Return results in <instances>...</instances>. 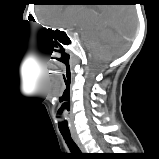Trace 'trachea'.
<instances>
[{"instance_id": "trachea-1", "label": "trachea", "mask_w": 159, "mask_h": 159, "mask_svg": "<svg viewBox=\"0 0 159 159\" xmlns=\"http://www.w3.org/2000/svg\"><path fill=\"white\" fill-rule=\"evenodd\" d=\"M61 135H62L65 143L67 144V146H68V148H69V150L71 151L72 154H75V155L81 154V150L79 149V147L77 146V144L72 139L70 133H63V132H61Z\"/></svg>"}]
</instances>
